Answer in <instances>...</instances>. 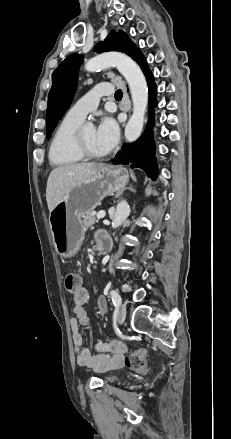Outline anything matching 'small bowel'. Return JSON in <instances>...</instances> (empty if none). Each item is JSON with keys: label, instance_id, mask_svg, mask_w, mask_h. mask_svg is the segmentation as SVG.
I'll return each mask as SVG.
<instances>
[{"label": "small bowel", "instance_id": "c3829d8e", "mask_svg": "<svg viewBox=\"0 0 231 439\" xmlns=\"http://www.w3.org/2000/svg\"><path fill=\"white\" fill-rule=\"evenodd\" d=\"M102 238H109L106 233L98 232L96 235L97 243ZM91 296L90 286L88 283H81L77 286L76 293L73 295L75 317L70 320L72 331L73 347L77 356V364L90 368L94 371H106L118 368L122 365L123 355L126 351V345L118 340L108 343L99 342L96 344V354L84 347L83 338L80 333V327L89 323V317L84 305ZM107 312V302L104 296H99L96 300V313L104 315Z\"/></svg>", "mask_w": 231, "mask_h": 439}]
</instances>
